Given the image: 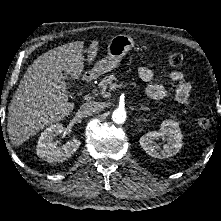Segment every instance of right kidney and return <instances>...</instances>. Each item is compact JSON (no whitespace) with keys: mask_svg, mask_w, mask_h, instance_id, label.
Here are the masks:
<instances>
[{"mask_svg":"<svg viewBox=\"0 0 221 221\" xmlns=\"http://www.w3.org/2000/svg\"><path fill=\"white\" fill-rule=\"evenodd\" d=\"M63 132L62 124H53L45 129L39 137L36 154L48 162H63L70 158L79 148L80 140L73 138L61 147L53 139Z\"/></svg>","mask_w":221,"mask_h":221,"instance_id":"ca27d5eb","label":"right kidney"}]
</instances>
